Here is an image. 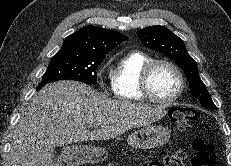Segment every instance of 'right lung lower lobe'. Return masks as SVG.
<instances>
[{
  "instance_id": "98d812e1",
  "label": "right lung lower lobe",
  "mask_w": 231,
  "mask_h": 166,
  "mask_svg": "<svg viewBox=\"0 0 231 166\" xmlns=\"http://www.w3.org/2000/svg\"><path fill=\"white\" fill-rule=\"evenodd\" d=\"M46 84L47 83H40V84H38L37 91H39Z\"/></svg>"
}]
</instances>
